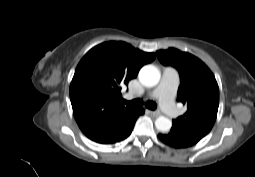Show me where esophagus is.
Masks as SVG:
<instances>
[{
	"mask_svg": "<svg viewBox=\"0 0 255 177\" xmlns=\"http://www.w3.org/2000/svg\"><path fill=\"white\" fill-rule=\"evenodd\" d=\"M150 114L154 117H158L160 115V112L159 111H149Z\"/></svg>",
	"mask_w": 255,
	"mask_h": 177,
	"instance_id": "34e87169",
	"label": "esophagus"
}]
</instances>
